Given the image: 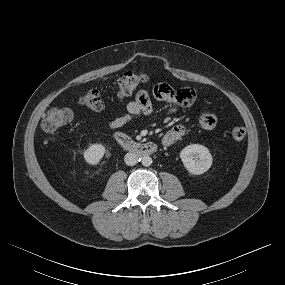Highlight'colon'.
Masks as SVG:
<instances>
[{"label": "colon", "mask_w": 285, "mask_h": 285, "mask_svg": "<svg viewBox=\"0 0 285 285\" xmlns=\"http://www.w3.org/2000/svg\"><path fill=\"white\" fill-rule=\"evenodd\" d=\"M146 81L143 74L136 72H125L116 81L114 94L116 98H124L131 95L139 86ZM81 105L94 111L104 109L105 102L102 94L97 89L87 90L79 99ZM74 113L69 108L52 107L44 116L41 127L47 133H53L60 128L67 126L73 121ZM245 129L242 126H234L230 135L231 138L240 142L245 138Z\"/></svg>", "instance_id": "1"}]
</instances>
